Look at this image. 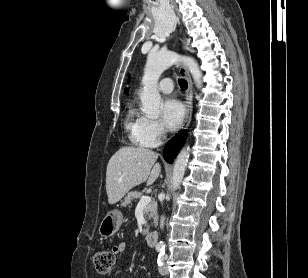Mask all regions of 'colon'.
I'll return each mask as SVG.
<instances>
[{"instance_id": "colon-1", "label": "colon", "mask_w": 308, "mask_h": 278, "mask_svg": "<svg viewBox=\"0 0 308 278\" xmlns=\"http://www.w3.org/2000/svg\"><path fill=\"white\" fill-rule=\"evenodd\" d=\"M115 263V255L111 250L98 249L93 254V264L99 273H109Z\"/></svg>"}]
</instances>
